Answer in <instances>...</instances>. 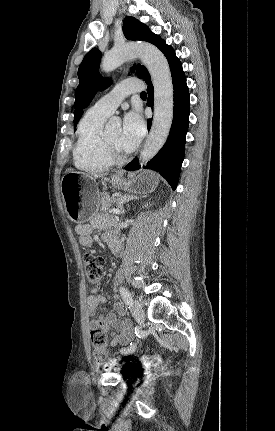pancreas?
<instances>
[{"mask_svg": "<svg viewBox=\"0 0 275 431\" xmlns=\"http://www.w3.org/2000/svg\"><path fill=\"white\" fill-rule=\"evenodd\" d=\"M98 202L99 205H101L100 210L102 211V213H104L113 205L114 200L110 198L107 193L103 192Z\"/></svg>", "mask_w": 275, "mask_h": 431, "instance_id": "obj_1", "label": "pancreas"}]
</instances>
